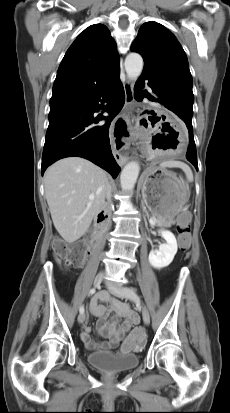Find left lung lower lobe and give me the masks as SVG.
I'll use <instances>...</instances> for the list:
<instances>
[{"mask_svg": "<svg viewBox=\"0 0 230 413\" xmlns=\"http://www.w3.org/2000/svg\"><path fill=\"white\" fill-rule=\"evenodd\" d=\"M145 79H146L145 77L141 76L140 79L135 84V87H134L135 88V98H136L137 101H142V99H143V97L140 95V91L144 87L143 81ZM148 84L151 87V83L148 82ZM150 100L159 102L157 99H155L153 97ZM165 107L167 109H169L170 111H172L173 113H175L185 123V125L188 129V132H189V145H188V149H187V153H186V158L189 162H191L194 165L196 170H198L196 146H195V141H194V137H193V127H192V122H191L192 118L189 117L186 113H184L181 109H179L176 106L166 105ZM171 133H173V132H171Z\"/></svg>", "mask_w": 230, "mask_h": 413, "instance_id": "obj_1", "label": "left lung lower lobe"}]
</instances>
